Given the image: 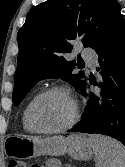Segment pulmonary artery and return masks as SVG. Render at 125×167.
Here are the masks:
<instances>
[{
  "label": "pulmonary artery",
  "instance_id": "pulmonary-artery-1",
  "mask_svg": "<svg viewBox=\"0 0 125 167\" xmlns=\"http://www.w3.org/2000/svg\"><path fill=\"white\" fill-rule=\"evenodd\" d=\"M83 56L90 63H93L97 59L96 55L88 50L84 51Z\"/></svg>",
  "mask_w": 125,
  "mask_h": 167
}]
</instances>
